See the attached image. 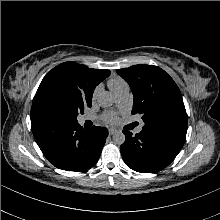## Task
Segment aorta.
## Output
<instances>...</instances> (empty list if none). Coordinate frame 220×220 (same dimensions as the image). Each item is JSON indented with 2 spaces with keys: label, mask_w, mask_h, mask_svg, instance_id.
Instances as JSON below:
<instances>
[{
  "label": "aorta",
  "mask_w": 220,
  "mask_h": 220,
  "mask_svg": "<svg viewBox=\"0 0 220 220\" xmlns=\"http://www.w3.org/2000/svg\"><path fill=\"white\" fill-rule=\"evenodd\" d=\"M98 103L101 107L107 108L113 105L114 99L110 93L103 92L98 96ZM115 144L121 145L125 142V135L122 131H117L113 134Z\"/></svg>",
  "instance_id": "762f6f07"
}]
</instances>
